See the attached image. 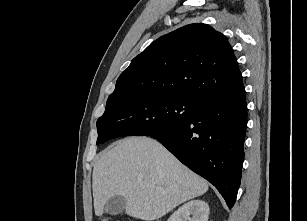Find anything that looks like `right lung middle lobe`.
Returning a JSON list of instances; mask_svg holds the SVG:
<instances>
[{"instance_id":"dd1d6c3e","label":"right lung middle lobe","mask_w":307,"mask_h":221,"mask_svg":"<svg viewBox=\"0 0 307 221\" xmlns=\"http://www.w3.org/2000/svg\"><path fill=\"white\" fill-rule=\"evenodd\" d=\"M198 104L166 95L126 97L106 105L97 121V144L122 136H150L169 130L195 112Z\"/></svg>"}]
</instances>
